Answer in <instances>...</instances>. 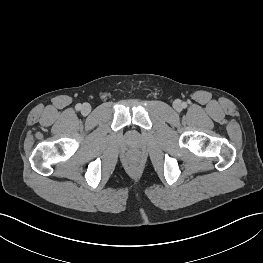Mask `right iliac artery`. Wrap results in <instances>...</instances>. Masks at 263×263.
I'll return each instance as SVG.
<instances>
[{"label":"right iliac artery","instance_id":"obj_1","mask_svg":"<svg viewBox=\"0 0 263 263\" xmlns=\"http://www.w3.org/2000/svg\"><path fill=\"white\" fill-rule=\"evenodd\" d=\"M81 107H82L81 104H77V105H76V110H81Z\"/></svg>","mask_w":263,"mask_h":263}]
</instances>
